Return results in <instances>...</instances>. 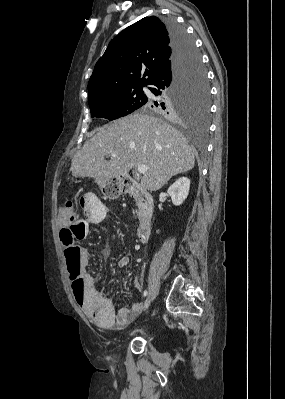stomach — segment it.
Segmentation results:
<instances>
[{
    "label": "stomach",
    "instance_id": "obj_1",
    "mask_svg": "<svg viewBox=\"0 0 285 399\" xmlns=\"http://www.w3.org/2000/svg\"><path fill=\"white\" fill-rule=\"evenodd\" d=\"M96 182L103 195L109 199H117L123 193L124 181L120 177L98 179Z\"/></svg>",
    "mask_w": 285,
    "mask_h": 399
}]
</instances>
